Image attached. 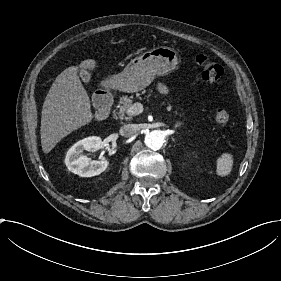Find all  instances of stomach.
I'll return each instance as SVG.
<instances>
[{"mask_svg": "<svg viewBox=\"0 0 281 281\" xmlns=\"http://www.w3.org/2000/svg\"><path fill=\"white\" fill-rule=\"evenodd\" d=\"M178 53L166 46L153 48L132 59L124 70L107 79L106 86L123 92H137L178 67Z\"/></svg>", "mask_w": 281, "mask_h": 281, "instance_id": "stomach-1", "label": "stomach"}]
</instances>
